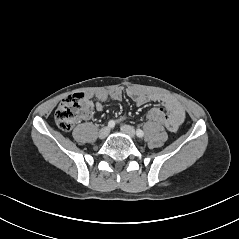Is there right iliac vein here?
<instances>
[{
	"label": "right iliac vein",
	"instance_id": "1",
	"mask_svg": "<svg viewBox=\"0 0 239 239\" xmlns=\"http://www.w3.org/2000/svg\"><path fill=\"white\" fill-rule=\"evenodd\" d=\"M109 132V127H104L99 131L98 136L100 139H105L108 136Z\"/></svg>",
	"mask_w": 239,
	"mask_h": 239
}]
</instances>
